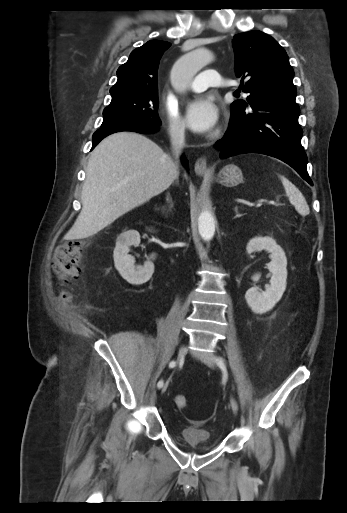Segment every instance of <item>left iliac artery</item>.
I'll list each match as a JSON object with an SVG mask.
<instances>
[{
  "label": "left iliac artery",
  "instance_id": "44dca946",
  "mask_svg": "<svg viewBox=\"0 0 347 513\" xmlns=\"http://www.w3.org/2000/svg\"><path fill=\"white\" fill-rule=\"evenodd\" d=\"M217 364L220 366V367H224V360L222 358H217Z\"/></svg>",
  "mask_w": 347,
  "mask_h": 513
}]
</instances>
